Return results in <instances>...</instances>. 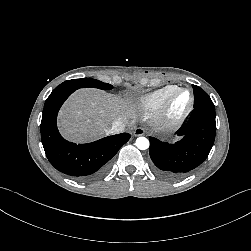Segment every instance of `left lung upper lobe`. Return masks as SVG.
Returning a JSON list of instances; mask_svg holds the SVG:
<instances>
[{"label":"left lung upper lobe","mask_w":251,"mask_h":251,"mask_svg":"<svg viewBox=\"0 0 251 251\" xmlns=\"http://www.w3.org/2000/svg\"><path fill=\"white\" fill-rule=\"evenodd\" d=\"M194 89V108H207L215 110L214 104L208 94L200 87L193 85Z\"/></svg>","instance_id":"left-lung-upper-lobe-1"}]
</instances>
